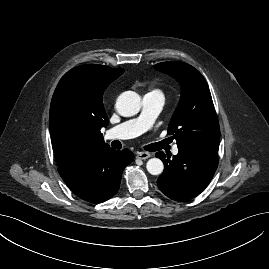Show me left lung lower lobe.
Masks as SVG:
<instances>
[{
    "mask_svg": "<svg viewBox=\"0 0 269 269\" xmlns=\"http://www.w3.org/2000/svg\"><path fill=\"white\" fill-rule=\"evenodd\" d=\"M219 144L205 143L200 148H178L172 159L156 153L164 165L157 183L163 194L176 201H185L200 194L210 183L218 166Z\"/></svg>",
    "mask_w": 269,
    "mask_h": 269,
    "instance_id": "0a47b994",
    "label": "left lung lower lobe"
}]
</instances>
